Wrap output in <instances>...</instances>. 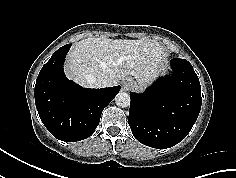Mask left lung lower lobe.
<instances>
[{
    "instance_id": "left-lung-lower-lobe-1",
    "label": "left lung lower lobe",
    "mask_w": 236,
    "mask_h": 178,
    "mask_svg": "<svg viewBox=\"0 0 236 178\" xmlns=\"http://www.w3.org/2000/svg\"><path fill=\"white\" fill-rule=\"evenodd\" d=\"M172 76L160 77L143 94L131 93L129 125L149 147L165 149L185 138L201 109V86L186 59L171 61Z\"/></svg>"
}]
</instances>
